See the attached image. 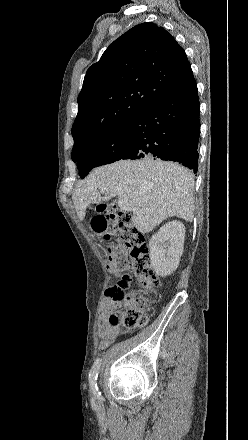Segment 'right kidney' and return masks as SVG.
Masks as SVG:
<instances>
[{
    "label": "right kidney",
    "mask_w": 248,
    "mask_h": 440,
    "mask_svg": "<svg viewBox=\"0 0 248 440\" xmlns=\"http://www.w3.org/2000/svg\"><path fill=\"white\" fill-rule=\"evenodd\" d=\"M185 226L173 220L163 225L149 242L150 263L156 275L165 277L178 267L184 249Z\"/></svg>",
    "instance_id": "right-kidney-1"
}]
</instances>
